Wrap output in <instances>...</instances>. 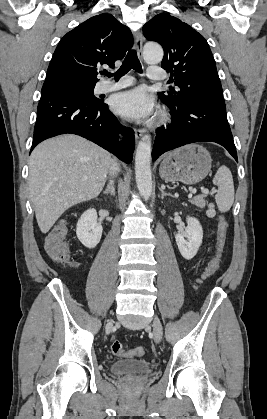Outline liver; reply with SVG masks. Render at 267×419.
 <instances>
[{"label":"liver","mask_w":267,"mask_h":419,"mask_svg":"<svg viewBox=\"0 0 267 419\" xmlns=\"http://www.w3.org/2000/svg\"><path fill=\"white\" fill-rule=\"evenodd\" d=\"M111 155L77 135L65 134L40 143L29 160V195L42 233L70 207L102 191Z\"/></svg>","instance_id":"6515ba94"}]
</instances>
